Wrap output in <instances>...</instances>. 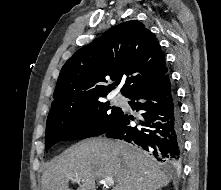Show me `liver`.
Segmentation results:
<instances>
[{
  "mask_svg": "<svg viewBox=\"0 0 221 190\" xmlns=\"http://www.w3.org/2000/svg\"><path fill=\"white\" fill-rule=\"evenodd\" d=\"M79 177L77 190H96L95 180L111 177L112 190H157L170 179L152 158L124 141L102 138L77 143L54 158L42 174V190H72L69 180Z\"/></svg>",
  "mask_w": 221,
  "mask_h": 190,
  "instance_id": "6515ba94",
  "label": "liver"
}]
</instances>
